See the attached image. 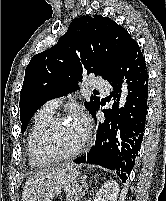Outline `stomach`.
Segmentation results:
<instances>
[{"label": "stomach", "mask_w": 166, "mask_h": 201, "mask_svg": "<svg viewBox=\"0 0 166 201\" xmlns=\"http://www.w3.org/2000/svg\"><path fill=\"white\" fill-rule=\"evenodd\" d=\"M79 167L65 165L46 178L35 190L31 201H52L65 187H69L79 176Z\"/></svg>", "instance_id": "1"}]
</instances>
